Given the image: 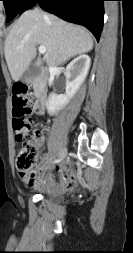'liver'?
<instances>
[{
	"mask_svg": "<svg viewBox=\"0 0 133 253\" xmlns=\"http://www.w3.org/2000/svg\"><path fill=\"white\" fill-rule=\"evenodd\" d=\"M37 45L46 47L44 61L61 65L70 58L89 52L93 39L85 28L68 23L38 9L24 12L5 40V59L12 79L18 81L36 56ZM37 61V66L41 64Z\"/></svg>",
	"mask_w": 133,
	"mask_h": 253,
	"instance_id": "liver-1",
	"label": "liver"
}]
</instances>
